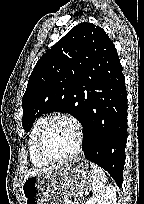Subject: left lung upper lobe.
Returning a JSON list of instances; mask_svg holds the SVG:
<instances>
[{"label": "left lung upper lobe", "instance_id": "obj_1", "mask_svg": "<svg viewBox=\"0 0 144 204\" xmlns=\"http://www.w3.org/2000/svg\"><path fill=\"white\" fill-rule=\"evenodd\" d=\"M106 32L92 23L72 28L39 59L22 99V126L29 131L42 114L70 113L82 124L86 117L87 76L101 61L118 60Z\"/></svg>", "mask_w": 144, "mask_h": 204}]
</instances>
